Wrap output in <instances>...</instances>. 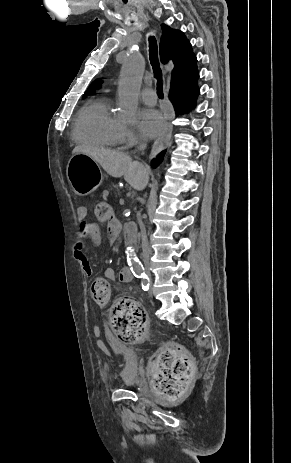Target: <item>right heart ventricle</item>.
<instances>
[{
    "mask_svg": "<svg viewBox=\"0 0 291 463\" xmlns=\"http://www.w3.org/2000/svg\"><path fill=\"white\" fill-rule=\"evenodd\" d=\"M122 124L111 113L110 103L99 99L89 103L77 115L73 137L79 144L94 147H115L122 141Z\"/></svg>",
    "mask_w": 291,
    "mask_h": 463,
    "instance_id": "1",
    "label": "right heart ventricle"
}]
</instances>
